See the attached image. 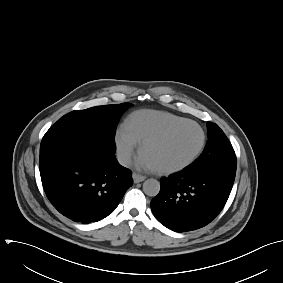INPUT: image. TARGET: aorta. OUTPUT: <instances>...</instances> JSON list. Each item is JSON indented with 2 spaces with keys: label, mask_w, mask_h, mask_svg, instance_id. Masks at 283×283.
<instances>
[{
  "label": "aorta",
  "mask_w": 283,
  "mask_h": 283,
  "mask_svg": "<svg viewBox=\"0 0 283 283\" xmlns=\"http://www.w3.org/2000/svg\"><path fill=\"white\" fill-rule=\"evenodd\" d=\"M143 191L148 196H156L160 191V182L153 178L147 179L143 183Z\"/></svg>",
  "instance_id": "aorta-1"
}]
</instances>
